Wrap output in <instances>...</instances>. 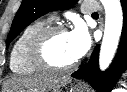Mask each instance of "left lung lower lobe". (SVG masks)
<instances>
[{
  "instance_id": "1",
  "label": "left lung lower lobe",
  "mask_w": 127,
  "mask_h": 92,
  "mask_svg": "<svg viewBox=\"0 0 127 92\" xmlns=\"http://www.w3.org/2000/svg\"><path fill=\"white\" fill-rule=\"evenodd\" d=\"M123 8V29L118 55L111 68L106 72H100L98 67L99 46H97L88 63L84 64L72 74V77L84 79L99 92H110L111 86L127 65V0H121Z\"/></svg>"
}]
</instances>
